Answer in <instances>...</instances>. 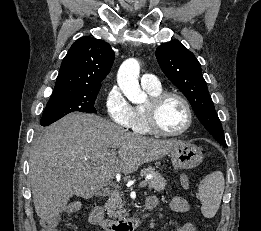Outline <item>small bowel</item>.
Instances as JSON below:
<instances>
[{
  "instance_id": "small-bowel-1",
  "label": "small bowel",
  "mask_w": 261,
  "mask_h": 231,
  "mask_svg": "<svg viewBox=\"0 0 261 231\" xmlns=\"http://www.w3.org/2000/svg\"><path fill=\"white\" fill-rule=\"evenodd\" d=\"M183 182V188L188 189L189 187V180L186 175H182L180 177ZM146 203H150L153 207H156L159 203V200L156 196H149L146 200ZM170 207L172 210L179 212V213H187L190 209V205L188 201L181 197H174L170 202ZM178 231H196L195 226L188 222L185 223Z\"/></svg>"
}]
</instances>
